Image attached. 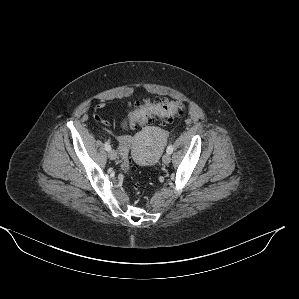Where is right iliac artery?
Instances as JSON below:
<instances>
[{
  "mask_svg": "<svg viewBox=\"0 0 299 299\" xmlns=\"http://www.w3.org/2000/svg\"><path fill=\"white\" fill-rule=\"evenodd\" d=\"M104 147L107 151L111 150V146L109 145V143L105 142Z\"/></svg>",
  "mask_w": 299,
  "mask_h": 299,
  "instance_id": "right-iliac-artery-1",
  "label": "right iliac artery"
}]
</instances>
